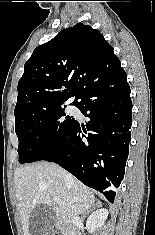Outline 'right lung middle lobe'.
<instances>
[{
	"label": "right lung middle lobe",
	"mask_w": 155,
	"mask_h": 235,
	"mask_svg": "<svg viewBox=\"0 0 155 235\" xmlns=\"http://www.w3.org/2000/svg\"><path fill=\"white\" fill-rule=\"evenodd\" d=\"M65 115L58 106L28 111L15 118L20 163L43 160L66 142L77 121Z\"/></svg>",
	"instance_id": "obj_1"
}]
</instances>
